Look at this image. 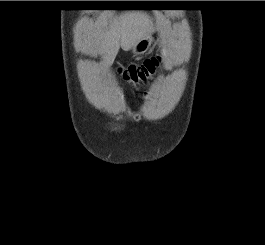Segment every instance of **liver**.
Here are the masks:
<instances>
[{
	"mask_svg": "<svg viewBox=\"0 0 265 245\" xmlns=\"http://www.w3.org/2000/svg\"><path fill=\"white\" fill-rule=\"evenodd\" d=\"M154 31L150 17L144 12H125L108 23L102 15L84 35L85 48L98 53L106 65H111L120 47L129 51Z\"/></svg>",
	"mask_w": 265,
	"mask_h": 245,
	"instance_id": "liver-1",
	"label": "liver"
}]
</instances>
